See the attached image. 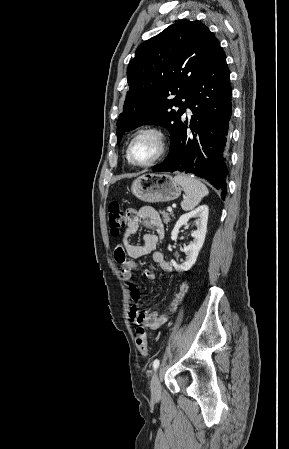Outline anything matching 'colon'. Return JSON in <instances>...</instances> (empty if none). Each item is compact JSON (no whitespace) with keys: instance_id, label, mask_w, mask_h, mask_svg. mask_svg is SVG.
Returning a JSON list of instances; mask_svg holds the SVG:
<instances>
[{"instance_id":"5ec220e1","label":"colon","mask_w":289,"mask_h":449,"mask_svg":"<svg viewBox=\"0 0 289 449\" xmlns=\"http://www.w3.org/2000/svg\"><path fill=\"white\" fill-rule=\"evenodd\" d=\"M125 221V215L120 207V204L118 202L110 203L108 207V224L110 233L113 236H117L120 234L121 230L125 226ZM134 295L136 296L135 291ZM136 346L141 356L146 357L148 355L149 348L147 341V331L142 325L138 326L137 328Z\"/></svg>"}]
</instances>
